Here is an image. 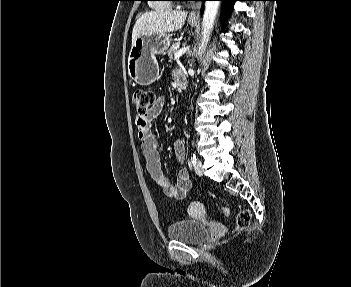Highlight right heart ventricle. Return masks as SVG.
Masks as SVG:
<instances>
[{
	"mask_svg": "<svg viewBox=\"0 0 351 287\" xmlns=\"http://www.w3.org/2000/svg\"><path fill=\"white\" fill-rule=\"evenodd\" d=\"M153 3L151 4V7L155 10H163L167 8V5L165 3H162L163 1L160 0H153Z\"/></svg>",
	"mask_w": 351,
	"mask_h": 287,
	"instance_id": "1",
	"label": "right heart ventricle"
}]
</instances>
